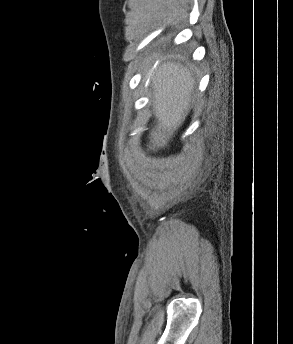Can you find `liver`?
Returning <instances> with one entry per match:
<instances>
[{"label":"liver","mask_w":293,"mask_h":344,"mask_svg":"<svg viewBox=\"0 0 293 344\" xmlns=\"http://www.w3.org/2000/svg\"><path fill=\"white\" fill-rule=\"evenodd\" d=\"M145 77L152 81L154 111L158 119L157 128L151 132L150 145L153 149L163 148L188 114L195 81L187 67L175 62L148 69Z\"/></svg>","instance_id":"liver-1"}]
</instances>
